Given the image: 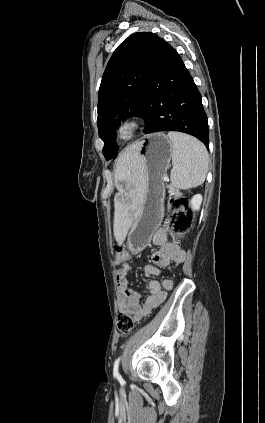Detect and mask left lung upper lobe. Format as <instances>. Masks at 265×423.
Instances as JSON below:
<instances>
[{"mask_svg":"<svg viewBox=\"0 0 265 423\" xmlns=\"http://www.w3.org/2000/svg\"><path fill=\"white\" fill-rule=\"evenodd\" d=\"M162 42L154 33H134L117 47L107 64L99 88L97 118L107 160L117 156L115 131L121 121L138 116Z\"/></svg>","mask_w":265,"mask_h":423,"instance_id":"left-lung-upper-lobe-1","label":"left lung upper lobe"}]
</instances>
